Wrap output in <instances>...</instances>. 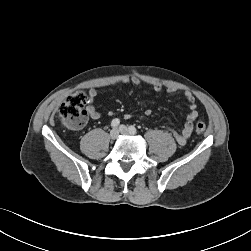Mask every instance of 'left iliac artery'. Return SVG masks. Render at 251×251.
Instances as JSON below:
<instances>
[{"label":"left iliac artery","instance_id":"1","mask_svg":"<svg viewBox=\"0 0 251 251\" xmlns=\"http://www.w3.org/2000/svg\"><path fill=\"white\" fill-rule=\"evenodd\" d=\"M129 131H130L132 134L137 133V129H136L134 126H129Z\"/></svg>","mask_w":251,"mask_h":251}]
</instances>
